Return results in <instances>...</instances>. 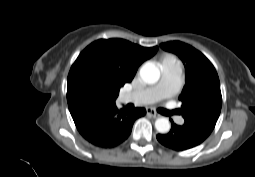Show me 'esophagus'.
Segmentation results:
<instances>
[{"label":"esophagus","instance_id":"1","mask_svg":"<svg viewBox=\"0 0 255 177\" xmlns=\"http://www.w3.org/2000/svg\"><path fill=\"white\" fill-rule=\"evenodd\" d=\"M146 113L147 114H149V115H151L153 118H159L161 115L160 114H158L157 112H155L153 109H151V108H148L147 110H146Z\"/></svg>","mask_w":255,"mask_h":177}]
</instances>
